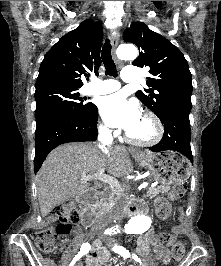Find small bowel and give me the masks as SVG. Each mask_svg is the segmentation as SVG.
I'll list each match as a JSON object with an SVG mask.
<instances>
[{
    "label": "small bowel",
    "instance_id": "1",
    "mask_svg": "<svg viewBox=\"0 0 221 266\" xmlns=\"http://www.w3.org/2000/svg\"><path fill=\"white\" fill-rule=\"evenodd\" d=\"M175 230L177 231V229ZM172 235L173 238H175V235ZM150 243L154 245L156 260L160 261L163 264H167L170 260L169 251L165 246L156 242V238L150 230L139 237L137 252L140 255H146ZM86 264L87 266H111L112 260L110 258V255L106 251H93L88 254L86 258Z\"/></svg>",
    "mask_w": 221,
    "mask_h": 266
}]
</instances>
